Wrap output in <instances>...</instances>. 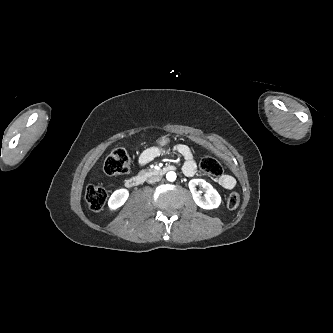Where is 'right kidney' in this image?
I'll return each instance as SVG.
<instances>
[{"label":"right kidney","instance_id":"right-kidney-1","mask_svg":"<svg viewBox=\"0 0 333 333\" xmlns=\"http://www.w3.org/2000/svg\"><path fill=\"white\" fill-rule=\"evenodd\" d=\"M129 192L127 189H119L113 192L108 201L110 210H116L121 207L128 199Z\"/></svg>","mask_w":333,"mask_h":333}]
</instances>
